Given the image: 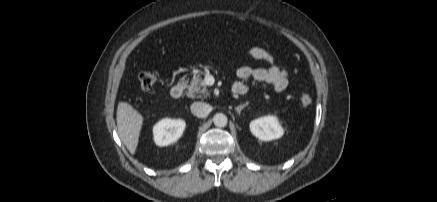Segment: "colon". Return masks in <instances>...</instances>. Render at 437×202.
Here are the masks:
<instances>
[{
	"label": "colon",
	"mask_w": 437,
	"mask_h": 202,
	"mask_svg": "<svg viewBox=\"0 0 437 202\" xmlns=\"http://www.w3.org/2000/svg\"><path fill=\"white\" fill-rule=\"evenodd\" d=\"M138 79L141 88L143 90H149L155 85L157 81V76L154 72L145 70L139 73ZM299 101L302 107H308L311 104L312 99L309 94L302 93L300 95Z\"/></svg>",
	"instance_id": "obj_1"
}]
</instances>
